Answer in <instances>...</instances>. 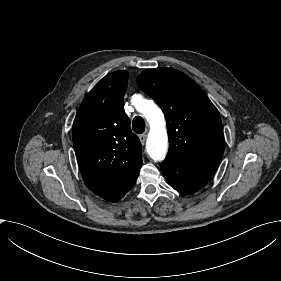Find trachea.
I'll list each match as a JSON object with an SVG mask.
<instances>
[{"label":"trachea","instance_id":"3493384b","mask_svg":"<svg viewBox=\"0 0 281 281\" xmlns=\"http://www.w3.org/2000/svg\"><path fill=\"white\" fill-rule=\"evenodd\" d=\"M132 129L137 134H142L145 130V122L144 119L140 116H136L133 119Z\"/></svg>","mask_w":281,"mask_h":281}]
</instances>
